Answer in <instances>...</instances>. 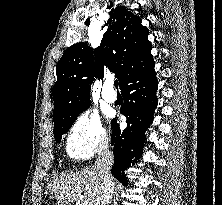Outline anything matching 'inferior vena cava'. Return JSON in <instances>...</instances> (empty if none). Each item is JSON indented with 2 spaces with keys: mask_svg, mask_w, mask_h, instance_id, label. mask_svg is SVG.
Wrapping results in <instances>:
<instances>
[{
  "mask_svg": "<svg viewBox=\"0 0 222 205\" xmlns=\"http://www.w3.org/2000/svg\"><path fill=\"white\" fill-rule=\"evenodd\" d=\"M113 161V154L109 151L108 145H106L95 162V169L99 174L103 187V193L99 200V204L101 205H109L112 199L114 183L110 176V170L112 168Z\"/></svg>",
  "mask_w": 222,
  "mask_h": 205,
  "instance_id": "obj_1",
  "label": "inferior vena cava"
}]
</instances>
